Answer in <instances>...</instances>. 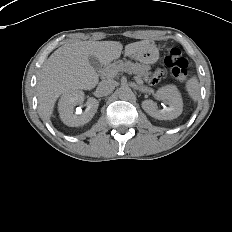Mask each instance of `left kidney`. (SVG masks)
<instances>
[{"label":"left kidney","mask_w":232,"mask_h":232,"mask_svg":"<svg viewBox=\"0 0 232 232\" xmlns=\"http://www.w3.org/2000/svg\"><path fill=\"white\" fill-rule=\"evenodd\" d=\"M157 99L168 100L169 107L159 110L157 104L152 100L142 102V108L151 117L158 120H173L181 115L183 111L182 97L174 85L161 87L156 93Z\"/></svg>","instance_id":"1"}]
</instances>
